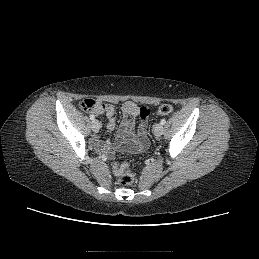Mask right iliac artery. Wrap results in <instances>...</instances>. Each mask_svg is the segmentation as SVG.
<instances>
[{
  "mask_svg": "<svg viewBox=\"0 0 259 259\" xmlns=\"http://www.w3.org/2000/svg\"><path fill=\"white\" fill-rule=\"evenodd\" d=\"M90 119L93 121L95 119L94 115H90Z\"/></svg>",
  "mask_w": 259,
  "mask_h": 259,
  "instance_id": "obj_1",
  "label": "right iliac artery"
}]
</instances>
